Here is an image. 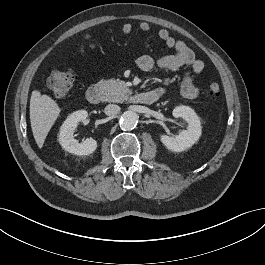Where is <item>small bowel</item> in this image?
I'll return each instance as SVG.
<instances>
[{"label": "small bowel", "instance_id": "obj_1", "mask_svg": "<svg viewBox=\"0 0 265 265\" xmlns=\"http://www.w3.org/2000/svg\"><path fill=\"white\" fill-rule=\"evenodd\" d=\"M139 28L144 33L151 31V26L147 22L140 23ZM131 31L132 25L130 23H125L122 26L124 35L129 34ZM158 36L168 48L173 50V53L158 59H154L149 55H142L136 60L137 67L144 72H150L155 68L165 71H176L181 67H188L189 71L183 76L180 90L184 97L196 98L200 93V89L194 83L193 76L204 73L205 65L203 61L196 58L194 52L183 41L174 39L166 29L159 30ZM80 50L82 53L84 52V45L80 46ZM154 91L163 96L167 90L165 87H158Z\"/></svg>", "mask_w": 265, "mask_h": 265}]
</instances>
